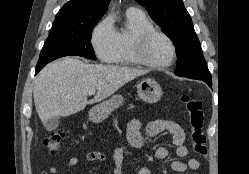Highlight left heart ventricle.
I'll return each instance as SVG.
<instances>
[{
    "label": "left heart ventricle",
    "instance_id": "b2bd125f",
    "mask_svg": "<svg viewBox=\"0 0 249 174\" xmlns=\"http://www.w3.org/2000/svg\"><path fill=\"white\" fill-rule=\"evenodd\" d=\"M146 53L152 61L165 63L172 57V48L164 38L155 36L150 40Z\"/></svg>",
    "mask_w": 249,
    "mask_h": 174
}]
</instances>
